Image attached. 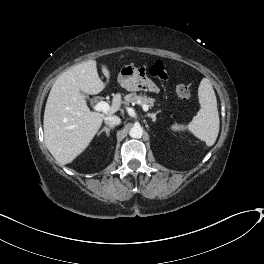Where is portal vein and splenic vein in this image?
Masks as SVG:
<instances>
[{"label": "portal vein and splenic vein", "mask_w": 264, "mask_h": 264, "mask_svg": "<svg viewBox=\"0 0 264 264\" xmlns=\"http://www.w3.org/2000/svg\"><path fill=\"white\" fill-rule=\"evenodd\" d=\"M110 106L107 102L100 101L94 106V110L97 112H103L107 113L109 110ZM143 110L146 112L148 111V105H142Z\"/></svg>", "instance_id": "1"}]
</instances>
